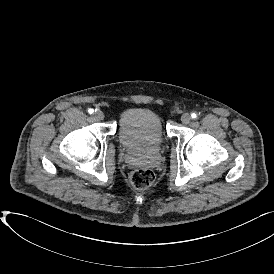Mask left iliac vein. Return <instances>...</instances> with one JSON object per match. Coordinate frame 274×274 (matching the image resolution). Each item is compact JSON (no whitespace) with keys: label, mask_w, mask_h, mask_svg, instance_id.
Returning <instances> with one entry per match:
<instances>
[{"label":"left iliac vein","mask_w":274,"mask_h":274,"mask_svg":"<svg viewBox=\"0 0 274 274\" xmlns=\"http://www.w3.org/2000/svg\"><path fill=\"white\" fill-rule=\"evenodd\" d=\"M191 116L188 114V113H184L182 116H181V121L183 124H188L190 123L191 121Z\"/></svg>","instance_id":"obj_1"}]
</instances>
